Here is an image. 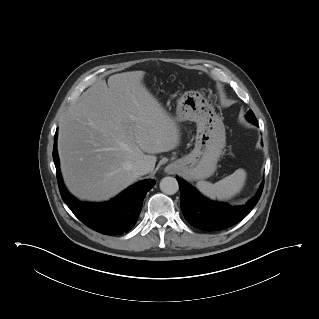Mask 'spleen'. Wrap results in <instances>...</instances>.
I'll return each instance as SVG.
<instances>
[{
    "label": "spleen",
    "mask_w": 319,
    "mask_h": 319,
    "mask_svg": "<svg viewBox=\"0 0 319 319\" xmlns=\"http://www.w3.org/2000/svg\"><path fill=\"white\" fill-rule=\"evenodd\" d=\"M245 181V170L237 169L233 174L214 184L207 181H199L196 187L203 195L210 199L228 200L242 190Z\"/></svg>",
    "instance_id": "3e777b00"
}]
</instances>
